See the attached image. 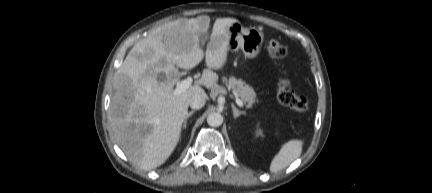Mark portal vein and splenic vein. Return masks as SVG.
Wrapping results in <instances>:
<instances>
[{
  "mask_svg": "<svg viewBox=\"0 0 432 193\" xmlns=\"http://www.w3.org/2000/svg\"><path fill=\"white\" fill-rule=\"evenodd\" d=\"M192 82H193L192 77H187L186 79H184V80L178 82V83L176 84V88H175V90H174V93H175V94H180V93H182V92H185V91H186V90L191 86ZM235 101H236V104H237L239 107H243V102L241 101L240 98L236 97V98H235Z\"/></svg>",
  "mask_w": 432,
  "mask_h": 193,
  "instance_id": "18ae733b",
  "label": "portal vein and splenic vein"
}]
</instances>
